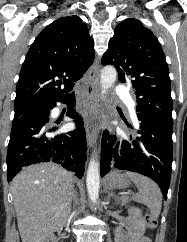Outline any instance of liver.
<instances>
[{"instance_id": "6515ba94", "label": "liver", "mask_w": 187, "mask_h": 242, "mask_svg": "<svg viewBox=\"0 0 187 242\" xmlns=\"http://www.w3.org/2000/svg\"><path fill=\"white\" fill-rule=\"evenodd\" d=\"M11 190L22 242H42L69 219L74 178L61 166L49 162L26 167L13 179Z\"/></svg>"}]
</instances>
